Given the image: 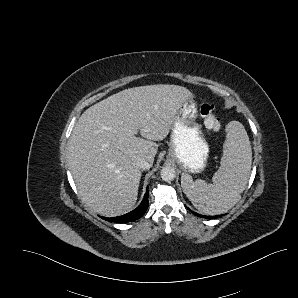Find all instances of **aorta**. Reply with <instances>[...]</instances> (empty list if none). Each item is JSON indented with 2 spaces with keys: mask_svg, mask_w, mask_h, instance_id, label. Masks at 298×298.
Listing matches in <instances>:
<instances>
[{
  "mask_svg": "<svg viewBox=\"0 0 298 298\" xmlns=\"http://www.w3.org/2000/svg\"><path fill=\"white\" fill-rule=\"evenodd\" d=\"M160 176L165 182L173 181L176 178V170L171 166H165L161 169Z\"/></svg>",
  "mask_w": 298,
  "mask_h": 298,
  "instance_id": "obj_1",
  "label": "aorta"
}]
</instances>
